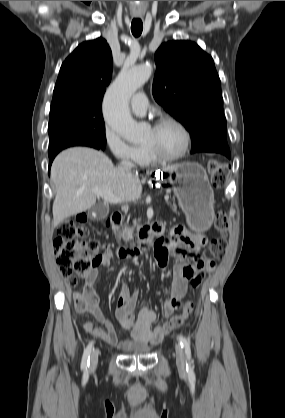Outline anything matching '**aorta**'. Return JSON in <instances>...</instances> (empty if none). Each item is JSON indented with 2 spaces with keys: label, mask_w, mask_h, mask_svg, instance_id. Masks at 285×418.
Returning a JSON list of instances; mask_svg holds the SVG:
<instances>
[{
  "label": "aorta",
  "mask_w": 285,
  "mask_h": 418,
  "mask_svg": "<svg viewBox=\"0 0 285 418\" xmlns=\"http://www.w3.org/2000/svg\"><path fill=\"white\" fill-rule=\"evenodd\" d=\"M151 73L150 64L123 68L105 94L103 114L107 125L132 143L142 140L144 127L131 117L128 102L148 81Z\"/></svg>",
  "instance_id": "762f6f07"
}]
</instances>
